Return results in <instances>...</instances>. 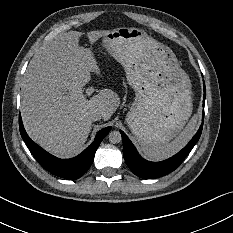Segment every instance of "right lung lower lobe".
<instances>
[{
  "label": "right lung lower lobe",
  "instance_id": "98d812e1",
  "mask_svg": "<svg viewBox=\"0 0 233 233\" xmlns=\"http://www.w3.org/2000/svg\"><path fill=\"white\" fill-rule=\"evenodd\" d=\"M19 129L21 136L31 153L38 161V163L50 173L65 178V179H78L80 178L91 166L95 152L103 140V138L110 132L111 127H106L100 130L94 142L86 148L80 155L71 159H59L49 154L35 142H33L27 135L19 115Z\"/></svg>",
  "mask_w": 233,
  "mask_h": 233
}]
</instances>
